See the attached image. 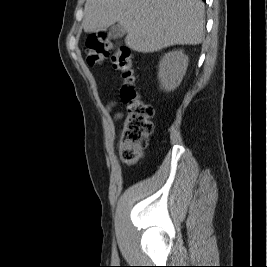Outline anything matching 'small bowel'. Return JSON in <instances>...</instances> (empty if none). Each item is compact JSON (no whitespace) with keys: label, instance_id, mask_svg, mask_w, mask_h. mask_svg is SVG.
I'll return each mask as SVG.
<instances>
[{"label":"small bowel","instance_id":"c3829d8e","mask_svg":"<svg viewBox=\"0 0 267 267\" xmlns=\"http://www.w3.org/2000/svg\"><path fill=\"white\" fill-rule=\"evenodd\" d=\"M114 106V103L112 102V103H109L108 105H107V110L108 111H111V109H112V107ZM121 117V114L120 113H117V114H115V118L116 119H119Z\"/></svg>","mask_w":267,"mask_h":267}]
</instances>
